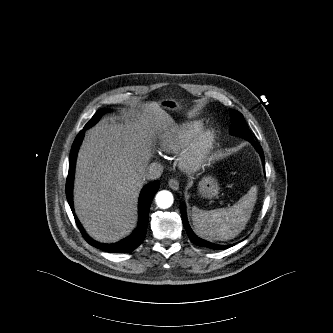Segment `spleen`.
<instances>
[{"mask_svg":"<svg viewBox=\"0 0 333 333\" xmlns=\"http://www.w3.org/2000/svg\"><path fill=\"white\" fill-rule=\"evenodd\" d=\"M256 186L229 208H218L210 211L192 207L194 232L201 238L213 241H225L235 238L246 227L255 202Z\"/></svg>","mask_w":333,"mask_h":333,"instance_id":"spleen-1","label":"spleen"}]
</instances>
